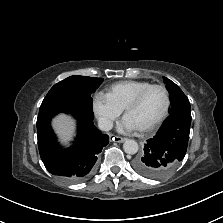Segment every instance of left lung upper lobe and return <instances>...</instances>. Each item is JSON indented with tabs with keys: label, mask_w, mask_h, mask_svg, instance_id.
Segmentation results:
<instances>
[{
	"label": "left lung upper lobe",
	"mask_w": 223,
	"mask_h": 223,
	"mask_svg": "<svg viewBox=\"0 0 223 223\" xmlns=\"http://www.w3.org/2000/svg\"><path fill=\"white\" fill-rule=\"evenodd\" d=\"M166 88L169 92L171 108L169 109L170 114L181 112L187 115H191L190 111V102L186 95L182 92L178 85L169 80L166 77H163Z\"/></svg>",
	"instance_id": "obj_1"
}]
</instances>
